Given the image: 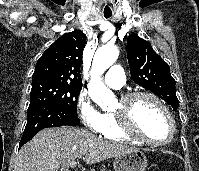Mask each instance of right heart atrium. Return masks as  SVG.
Instances as JSON below:
<instances>
[{
  "label": "right heart atrium",
  "mask_w": 199,
  "mask_h": 171,
  "mask_svg": "<svg viewBox=\"0 0 199 171\" xmlns=\"http://www.w3.org/2000/svg\"><path fill=\"white\" fill-rule=\"evenodd\" d=\"M76 111L82 124L90 131L99 133L104 126V114L96 108L84 91L76 99Z\"/></svg>",
  "instance_id": "1"
}]
</instances>
